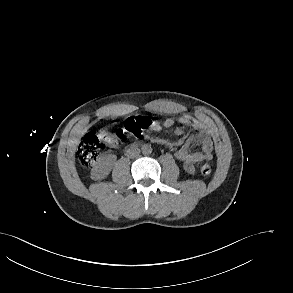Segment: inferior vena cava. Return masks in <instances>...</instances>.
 Instances as JSON below:
<instances>
[{"mask_svg":"<svg viewBox=\"0 0 293 293\" xmlns=\"http://www.w3.org/2000/svg\"><path fill=\"white\" fill-rule=\"evenodd\" d=\"M140 154V149L137 147H132L127 151V156L129 158L137 157Z\"/></svg>","mask_w":293,"mask_h":293,"instance_id":"obj_1","label":"inferior vena cava"}]
</instances>
